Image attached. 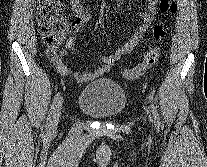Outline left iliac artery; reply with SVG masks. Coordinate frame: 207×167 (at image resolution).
Wrapping results in <instances>:
<instances>
[{"label":"left iliac artery","instance_id":"44dca946","mask_svg":"<svg viewBox=\"0 0 207 167\" xmlns=\"http://www.w3.org/2000/svg\"><path fill=\"white\" fill-rule=\"evenodd\" d=\"M151 110H152V114H153V117H154L155 126L157 127V129H159L160 119H159V115H158V112L156 110V107L153 104H151Z\"/></svg>","mask_w":207,"mask_h":167}]
</instances>
